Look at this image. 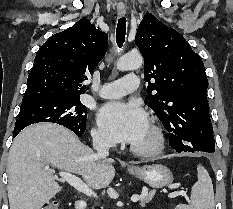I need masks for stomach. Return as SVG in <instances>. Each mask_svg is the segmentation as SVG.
I'll list each match as a JSON object with an SVG mask.
<instances>
[{"mask_svg": "<svg viewBox=\"0 0 233 209\" xmlns=\"http://www.w3.org/2000/svg\"><path fill=\"white\" fill-rule=\"evenodd\" d=\"M129 173L150 187L163 188L173 181L171 171L162 164H153L141 168L129 169Z\"/></svg>", "mask_w": 233, "mask_h": 209, "instance_id": "obj_1", "label": "stomach"}]
</instances>
